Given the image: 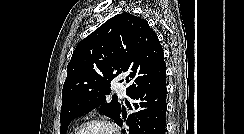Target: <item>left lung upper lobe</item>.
<instances>
[{
    "label": "left lung upper lobe",
    "instance_id": "5c2ea615",
    "mask_svg": "<svg viewBox=\"0 0 244 134\" xmlns=\"http://www.w3.org/2000/svg\"><path fill=\"white\" fill-rule=\"evenodd\" d=\"M121 74L129 85L127 94L166 84V63L156 33L146 20L129 13L107 20L76 46L62 90L61 134L74 118L96 107L116 121L121 105L107 103L106 95L111 81Z\"/></svg>",
    "mask_w": 244,
    "mask_h": 134
}]
</instances>
